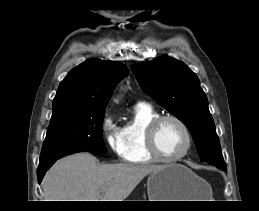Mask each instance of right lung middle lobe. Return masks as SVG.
<instances>
[{
	"mask_svg": "<svg viewBox=\"0 0 259 211\" xmlns=\"http://www.w3.org/2000/svg\"><path fill=\"white\" fill-rule=\"evenodd\" d=\"M105 108H75L51 117L40 162L64 152L105 153L102 137Z\"/></svg>",
	"mask_w": 259,
	"mask_h": 211,
	"instance_id": "obj_1",
	"label": "right lung middle lobe"
}]
</instances>
